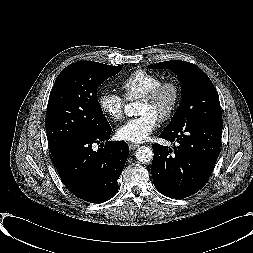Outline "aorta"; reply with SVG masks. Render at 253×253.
I'll return each mask as SVG.
<instances>
[{"label": "aorta", "instance_id": "1", "mask_svg": "<svg viewBox=\"0 0 253 253\" xmlns=\"http://www.w3.org/2000/svg\"><path fill=\"white\" fill-rule=\"evenodd\" d=\"M124 112L128 116L135 114V107L133 104L125 105ZM136 159L141 163H148L153 159V150L148 146H140L135 153Z\"/></svg>", "mask_w": 253, "mask_h": 253}]
</instances>
